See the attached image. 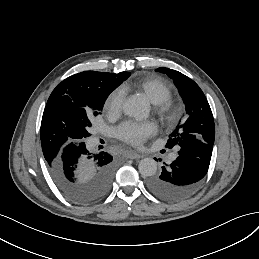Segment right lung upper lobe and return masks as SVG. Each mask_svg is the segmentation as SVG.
I'll list each match as a JSON object with an SVG mask.
<instances>
[{
    "label": "right lung upper lobe",
    "mask_w": 259,
    "mask_h": 259,
    "mask_svg": "<svg viewBox=\"0 0 259 259\" xmlns=\"http://www.w3.org/2000/svg\"><path fill=\"white\" fill-rule=\"evenodd\" d=\"M130 76L85 71L63 80L51 93L41 122L40 136L43 155L47 164L53 163L70 144L67 133L76 127L92 108L95 95L104 90H114Z\"/></svg>",
    "instance_id": "right-lung-upper-lobe-1"
}]
</instances>
